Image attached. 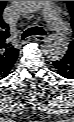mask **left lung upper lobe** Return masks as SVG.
Segmentation results:
<instances>
[{
    "mask_svg": "<svg viewBox=\"0 0 74 122\" xmlns=\"http://www.w3.org/2000/svg\"><path fill=\"white\" fill-rule=\"evenodd\" d=\"M66 2H67V6L69 8V11H70V14H71V17H72L71 25H72V28H73V31H74V1H66ZM68 51L74 53V39L70 43Z\"/></svg>",
    "mask_w": 74,
    "mask_h": 122,
    "instance_id": "left-lung-upper-lobe-1",
    "label": "left lung upper lobe"
}]
</instances>
